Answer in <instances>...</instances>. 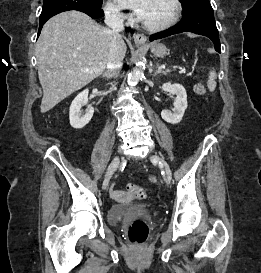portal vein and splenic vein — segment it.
<instances>
[{
    "mask_svg": "<svg viewBox=\"0 0 261 273\" xmlns=\"http://www.w3.org/2000/svg\"><path fill=\"white\" fill-rule=\"evenodd\" d=\"M84 71L89 72L90 69H89V68H85ZM185 72H186V71H185L184 68H181L180 71H179V73H185Z\"/></svg>",
    "mask_w": 261,
    "mask_h": 273,
    "instance_id": "portal-vein-and-splenic-vein-1",
    "label": "portal vein and splenic vein"
}]
</instances>
